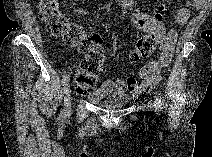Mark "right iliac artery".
Segmentation results:
<instances>
[{"label":"right iliac artery","mask_w":212,"mask_h":157,"mask_svg":"<svg viewBox=\"0 0 212 157\" xmlns=\"http://www.w3.org/2000/svg\"><path fill=\"white\" fill-rule=\"evenodd\" d=\"M68 81H69V76H67V75L63 76V78L61 80L62 85L65 86Z\"/></svg>","instance_id":"82829eb1"}]
</instances>
